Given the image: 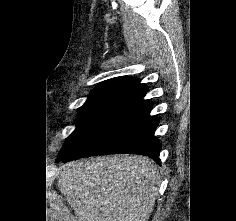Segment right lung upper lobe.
I'll list each match as a JSON object with an SVG mask.
<instances>
[{
    "label": "right lung upper lobe",
    "mask_w": 236,
    "mask_h": 221,
    "mask_svg": "<svg viewBox=\"0 0 236 221\" xmlns=\"http://www.w3.org/2000/svg\"><path fill=\"white\" fill-rule=\"evenodd\" d=\"M140 79L133 77H116L101 83L92 91L91 95L131 93L138 95L147 90L144 84H140Z\"/></svg>",
    "instance_id": "cb5924a9"
}]
</instances>
